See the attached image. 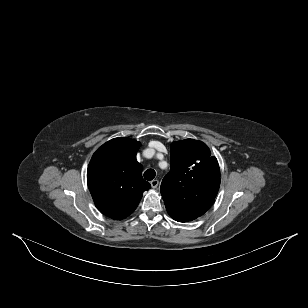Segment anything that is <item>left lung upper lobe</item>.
Masks as SVG:
<instances>
[{
    "instance_id": "5c2ea615",
    "label": "left lung upper lobe",
    "mask_w": 308,
    "mask_h": 308,
    "mask_svg": "<svg viewBox=\"0 0 308 308\" xmlns=\"http://www.w3.org/2000/svg\"><path fill=\"white\" fill-rule=\"evenodd\" d=\"M170 172L160 191L168 214L188 222L202 216L213 204L220 186V169L209 148L193 139L173 142Z\"/></svg>"
}]
</instances>
